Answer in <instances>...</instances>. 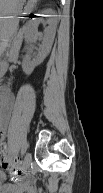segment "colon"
Segmentation results:
<instances>
[{
	"label": "colon",
	"mask_w": 103,
	"mask_h": 193,
	"mask_svg": "<svg viewBox=\"0 0 103 193\" xmlns=\"http://www.w3.org/2000/svg\"><path fill=\"white\" fill-rule=\"evenodd\" d=\"M1 166L9 170L15 174H20L22 172V169L19 165V163L14 160L10 154L6 151V147L4 144L1 146Z\"/></svg>",
	"instance_id": "1"
}]
</instances>
